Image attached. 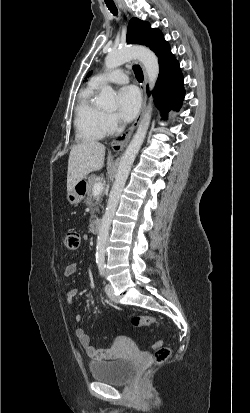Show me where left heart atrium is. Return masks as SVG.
Returning a JSON list of instances; mask_svg holds the SVG:
<instances>
[{
	"label": "left heart atrium",
	"instance_id": "1",
	"mask_svg": "<svg viewBox=\"0 0 250 413\" xmlns=\"http://www.w3.org/2000/svg\"><path fill=\"white\" fill-rule=\"evenodd\" d=\"M140 95L134 87H124L118 93V108L125 121H131L140 108Z\"/></svg>",
	"mask_w": 250,
	"mask_h": 413
}]
</instances>
